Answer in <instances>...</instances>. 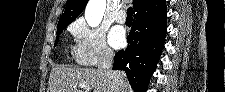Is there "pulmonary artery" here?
<instances>
[{
  "instance_id": "1",
  "label": "pulmonary artery",
  "mask_w": 225,
  "mask_h": 92,
  "mask_svg": "<svg viewBox=\"0 0 225 92\" xmlns=\"http://www.w3.org/2000/svg\"><path fill=\"white\" fill-rule=\"evenodd\" d=\"M116 21L120 24H124L125 21H126V13L125 11H120L116 14V17H115Z\"/></svg>"
}]
</instances>
